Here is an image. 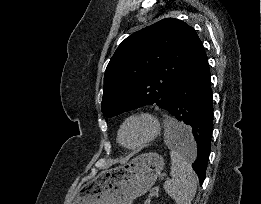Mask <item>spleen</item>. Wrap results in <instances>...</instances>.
I'll list each match as a JSON object with an SVG mask.
<instances>
[{
  "mask_svg": "<svg viewBox=\"0 0 261 204\" xmlns=\"http://www.w3.org/2000/svg\"><path fill=\"white\" fill-rule=\"evenodd\" d=\"M168 137L172 132L188 133V127L177 121L166 125ZM171 179L165 181L163 188L176 204H191L197 189V177L191 165L174 148H171Z\"/></svg>",
  "mask_w": 261,
  "mask_h": 204,
  "instance_id": "3e777b00",
  "label": "spleen"
}]
</instances>
